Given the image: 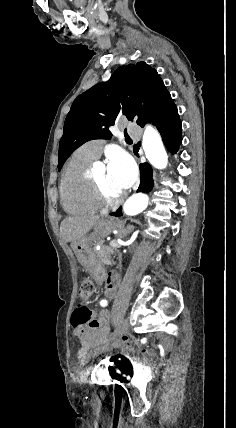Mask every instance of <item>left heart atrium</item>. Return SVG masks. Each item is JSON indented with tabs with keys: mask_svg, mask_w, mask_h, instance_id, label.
Wrapping results in <instances>:
<instances>
[{
	"mask_svg": "<svg viewBox=\"0 0 236 428\" xmlns=\"http://www.w3.org/2000/svg\"><path fill=\"white\" fill-rule=\"evenodd\" d=\"M108 171L121 189L126 191L136 180L137 169L134 161L125 153L119 152L109 158Z\"/></svg>",
	"mask_w": 236,
	"mask_h": 428,
	"instance_id": "left-heart-atrium-1",
	"label": "left heart atrium"
}]
</instances>
